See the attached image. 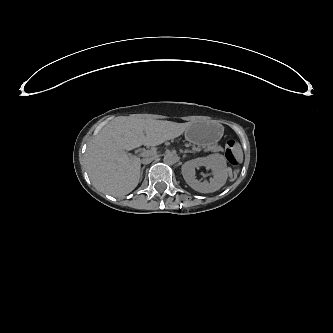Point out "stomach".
Here are the masks:
<instances>
[{"label":"stomach","instance_id":"stomach-1","mask_svg":"<svg viewBox=\"0 0 333 333\" xmlns=\"http://www.w3.org/2000/svg\"><path fill=\"white\" fill-rule=\"evenodd\" d=\"M185 137H186V140H187L189 143H192V144H201V142H199V141L193 139L189 133H188Z\"/></svg>","mask_w":333,"mask_h":333}]
</instances>
